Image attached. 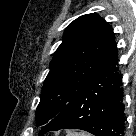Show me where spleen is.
<instances>
[{"label":"spleen","instance_id":"1","mask_svg":"<svg viewBox=\"0 0 136 136\" xmlns=\"http://www.w3.org/2000/svg\"><path fill=\"white\" fill-rule=\"evenodd\" d=\"M72 136H85V135H84V134L75 133V134H73Z\"/></svg>","mask_w":136,"mask_h":136}]
</instances>
